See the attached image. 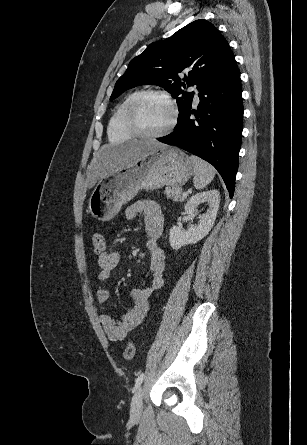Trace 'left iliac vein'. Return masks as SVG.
Listing matches in <instances>:
<instances>
[{
	"mask_svg": "<svg viewBox=\"0 0 307 445\" xmlns=\"http://www.w3.org/2000/svg\"><path fill=\"white\" fill-rule=\"evenodd\" d=\"M143 410V391L142 388L139 387L132 398L131 402V418L132 419H138L140 418Z\"/></svg>",
	"mask_w": 307,
	"mask_h": 445,
	"instance_id": "left-iliac-vein-1",
	"label": "left iliac vein"
}]
</instances>
